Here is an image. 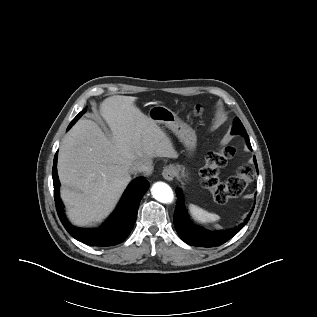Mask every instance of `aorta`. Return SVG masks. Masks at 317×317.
Listing matches in <instances>:
<instances>
[{
  "label": "aorta",
  "mask_w": 317,
  "mask_h": 317,
  "mask_svg": "<svg viewBox=\"0 0 317 317\" xmlns=\"http://www.w3.org/2000/svg\"><path fill=\"white\" fill-rule=\"evenodd\" d=\"M152 196L162 204H170L174 200L171 187L164 182H156L151 188Z\"/></svg>",
  "instance_id": "762f6f07"
}]
</instances>
